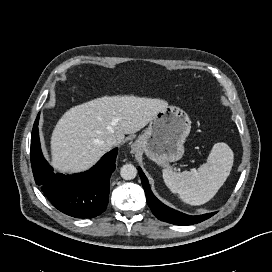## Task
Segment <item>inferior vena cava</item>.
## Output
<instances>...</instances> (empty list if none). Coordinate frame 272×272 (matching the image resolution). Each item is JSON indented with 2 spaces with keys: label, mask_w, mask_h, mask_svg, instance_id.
<instances>
[{
  "label": "inferior vena cava",
  "mask_w": 272,
  "mask_h": 272,
  "mask_svg": "<svg viewBox=\"0 0 272 272\" xmlns=\"http://www.w3.org/2000/svg\"><path fill=\"white\" fill-rule=\"evenodd\" d=\"M105 142L109 148L119 144V140L115 135L109 136Z\"/></svg>",
  "instance_id": "602c4592"
}]
</instances>
